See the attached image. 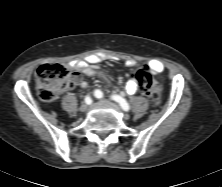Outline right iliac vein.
<instances>
[{
  "instance_id": "right-iliac-vein-1",
  "label": "right iliac vein",
  "mask_w": 222,
  "mask_h": 187,
  "mask_svg": "<svg viewBox=\"0 0 222 187\" xmlns=\"http://www.w3.org/2000/svg\"><path fill=\"white\" fill-rule=\"evenodd\" d=\"M87 109H88V105L84 103L80 106L79 111L85 112V111H87Z\"/></svg>"
}]
</instances>
